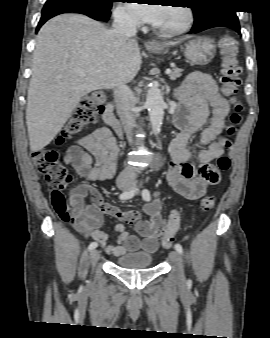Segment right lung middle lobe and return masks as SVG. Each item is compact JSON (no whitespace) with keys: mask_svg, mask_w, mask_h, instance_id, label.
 I'll list each match as a JSON object with an SVG mask.
<instances>
[{"mask_svg":"<svg viewBox=\"0 0 270 338\" xmlns=\"http://www.w3.org/2000/svg\"><path fill=\"white\" fill-rule=\"evenodd\" d=\"M114 1L116 0H47L45 5H86L110 10Z\"/></svg>","mask_w":270,"mask_h":338,"instance_id":"right-lung-middle-lobe-1","label":"right lung middle lobe"}]
</instances>
